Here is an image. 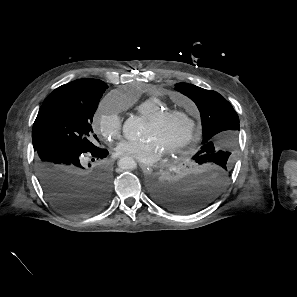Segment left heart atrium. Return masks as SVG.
Here are the masks:
<instances>
[{
	"mask_svg": "<svg viewBox=\"0 0 297 297\" xmlns=\"http://www.w3.org/2000/svg\"><path fill=\"white\" fill-rule=\"evenodd\" d=\"M118 155H127L142 164H153L158 161L164 151L152 137L139 141L123 140L115 148Z\"/></svg>",
	"mask_w": 297,
	"mask_h": 297,
	"instance_id": "left-heart-atrium-1",
	"label": "left heart atrium"
}]
</instances>
